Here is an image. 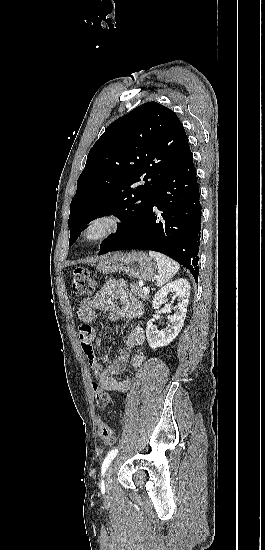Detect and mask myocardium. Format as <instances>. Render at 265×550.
<instances>
[{
	"label": "myocardium",
	"instance_id": "myocardium-1",
	"mask_svg": "<svg viewBox=\"0 0 265 550\" xmlns=\"http://www.w3.org/2000/svg\"><path fill=\"white\" fill-rule=\"evenodd\" d=\"M122 227V220L114 214H102L85 223L80 240L85 245L101 243L115 235Z\"/></svg>",
	"mask_w": 265,
	"mask_h": 550
}]
</instances>
